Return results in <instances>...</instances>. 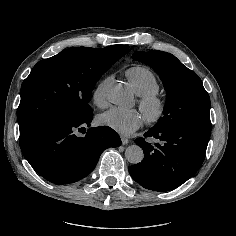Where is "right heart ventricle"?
<instances>
[{
  "mask_svg": "<svg viewBox=\"0 0 236 236\" xmlns=\"http://www.w3.org/2000/svg\"><path fill=\"white\" fill-rule=\"evenodd\" d=\"M126 76L140 97L157 94L160 89L156 75L147 67L133 66L127 69Z\"/></svg>",
  "mask_w": 236,
  "mask_h": 236,
  "instance_id": "right-heart-ventricle-1",
  "label": "right heart ventricle"
}]
</instances>
